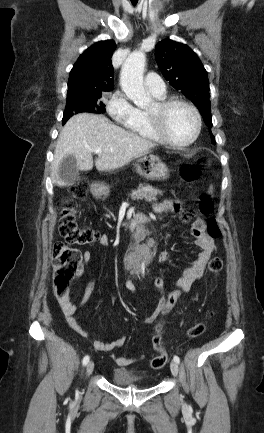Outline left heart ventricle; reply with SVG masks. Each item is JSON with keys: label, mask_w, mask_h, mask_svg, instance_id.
I'll use <instances>...</instances> for the list:
<instances>
[{"label": "left heart ventricle", "mask_w": 264, "mask_h": 433, "mask_svg": "<svg viewBox=\"0 0 264 433\" xmlns=\"http://www.w3.org/2000/svg\"><path fill=\"white\" fill-rule=\"evenodd\" d=\"M153 106L150 108L152 109ZM196 121L193 113L185 106L176 105L166 115L168 135L177 142L189 140L195 132Z\"/></svg>", "instance_id": "1"}]
</instances>
